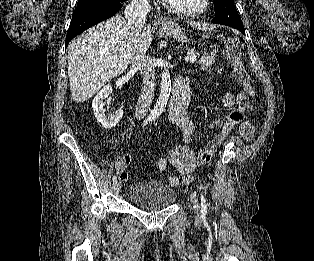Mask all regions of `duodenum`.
Returning a JSON list of instances; mask_svg holds the SVG:
<instances>
[{"instance_id":"410a0bca","label":"duodenum","mask_w":314,"mask_h":261,"mask_svg":"<svg viewBox=\"0 0 314 261\" xmlns=\"http://www.w3.org/2000/svg\"><path fill=\"white\" fill-rule=\"evenodd\" d=\"M191 94L187 89L184 79L178 77L173 86L172 97L169 103V116L172 117L177 113L184 112L190 101Z\"/></svg>"}]
</instances>
